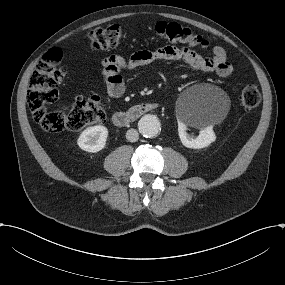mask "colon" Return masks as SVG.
I'll list each match as a JSON object with an SVG mask.
<instances>
[{"label":"colon","instance_id":"5ec220e1","mask_svg":"<svg viewBox=\"0 0 285 285\" xmlns=\"http://www.w3.org/2000/svg\"><path fill=\"white\" fill-rule=\"evenodd\" d=\"M153 34L158 40L185 43L193 49L202 50L208 45L202 36L176 22L159 21L153 28ZM124 36L125 32L118 24L96 28L88 33L90 46L94 50L113 49ZM62 57L61 50L57 48L45 53L30 78L27 94L34 121L48 132L77 131L105 118L104 107L97 96L71 105L58 102V86L66 75V68L61 65ZM240 101L246 110L256 108L261 102L259 89L255 85L246 86Z\"/></svg>","mask_w":285,"mask_h":285}]
</instances>
